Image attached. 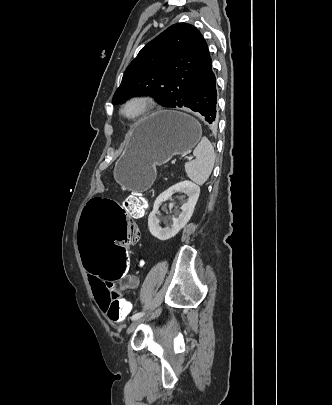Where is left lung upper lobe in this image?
Segmentation results:
<instances>
[{
    "mask_svg": "<svg viewBox=\"0 0 332 405\" xmlns=\"http://www.w3.org/2000/svg\"><path fill=\"white\" fill-rule=\"evenodd\" d=\"M209 60L208 45L197 28L174 24L145 45L129 64L112 103L153 95L164 107H183Z\"/></svg>",
    "mask_w": 332,
    "mask_h": 405,
    "instance_id": "5c2ea615",
    "label": "left lung upper lobe"
}]
</instances>
